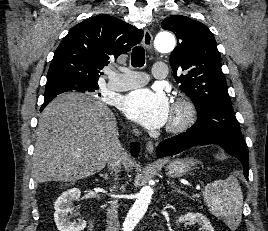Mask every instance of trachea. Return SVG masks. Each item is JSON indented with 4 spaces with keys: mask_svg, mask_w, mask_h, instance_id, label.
Returning a JSON list of instances; mask_svg holds the SVG:
<instances>
[{
    "mask_svg": "<svg viewBox=\"0 0 268 231\" xmlns=\"http://www.w3.org/2000/svg\"><path fill=\"white\" fill-rule=\"evenodd\" d=\"M145 63V51L141 46L132 49L131 64L133 67H142Z\"/></svg>",
    "mask_w": 268,
    "mask_h": 231,
    "instance_id": "trachea-1",
    "label": "trachea"
}]
</instances>
